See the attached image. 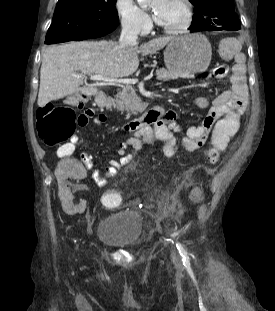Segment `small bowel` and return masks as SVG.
Returning a JSON list of instances; mask_svg holds the SVG:
<instances>
[{"instance_id":"1","label":"small bowel","mask_w":275,"mask_h":311,"mask_svg":"<svg viewBox=\"0 0 275 311\" xmlns=\"http://www.w3.org/2000/svg\"><path fill=\"white\" fill-rule=\"evenodd\" d=\"M222 44L218 56L232 57L234 62L229 79L230 89L216 95L211 100L205 97L195 99V106L199 109H207V114L200 123L186 129L185 145L191 150L204 144L213 128L216 127L218 118L241 119L248 104L246 60L240 51L241 44L232 38L224 39ZM85 112L96 125L100 126L105 122L106 118L103 114H97L93 109H87ZM176 119L177 113L174 110L151 111L148 119H146V126L137 128L130 138L118 143L117 154L119 158L110 160L109 167L102 175L93 169L94 161L91 155L83 152L81 160H71L72 158L69 155H61V149H59V169H56V179L60 185L59 200L62 201L59 212L67 213L68 216H81L86 202L82 198H75L68 185H72L73 180H84L87 170H91L95 182L99 186H105L108 180L116 175L119 168L130 164L132 161V155L127 154L128 147L140 151L143 142L153 145L156 141H161L165 144L166 156H172L177 149L174 142L175 134L181 130ZM234 131L236 133L238 130ZM72 141L74 144H79L82 140L75 136ZM82 164L87 170L82 169ZM73 191L76 193L78 190L75 188Z\"/></svg>"}]
</instances>
